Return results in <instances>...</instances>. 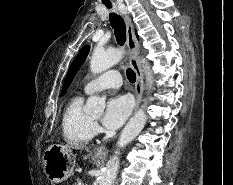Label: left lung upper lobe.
<instances>
[{"instance_id":"obj_1","label":"left lung upper lobe","mask_w":233,"mask_h":185,"mask_svg":"<svg viewBox=\"0 0 233 185\" xmlns=\"http://www.w3.org/2000/svg\"><path fill=\"white\" fill-rule=\"evenodd\" d=\"M88 52H89V47L88 46L83 47L80 50L77 57L75 58V60L73 61V63L71 64L69 72H68L66 80H65V83H64V86H63V89H62L61 95H63L65 93V91L68 88L69 84L71 83L76 71L82 65L84 60L86 59Z\"/></svg>"}]
</instances>
